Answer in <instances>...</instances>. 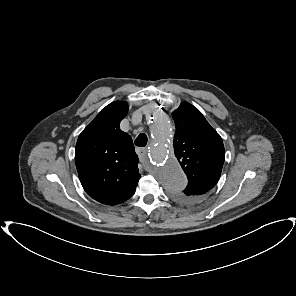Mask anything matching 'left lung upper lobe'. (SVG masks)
I'll list each match as a JSON object with an SVG mask.
<instances>
[{
	"label": "left lung upper lobe",
	"instance_id": "1",
	"mask_svg": "<svg viewBox=\"0 0 296 296\" xmlns=\"http://www.w3.org/2000/svg\"><path fill=\"white\" fill-rule=\"evenodd\" d=\"M176 125L174 152L188 178L187 187L172 191L185 204L203 200L218 182L225 160L220 135L193 105L184 102L172 112Z\"/></svg>",
	"mask_w": 296,
	"mask_h": 296
}]
</instances>
